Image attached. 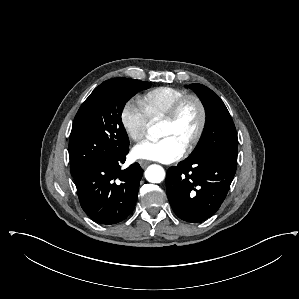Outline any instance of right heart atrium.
Wrapping results in <instances>:
<instances>
[{"label":"right heart atrium","instance_id":"d8ad5b80","mask_svg":"<svg viewBox=\"0 0 299 299\" xmlns=\"http://www.w3.org/2000/svg\"><path fill=\"white\" fill-rule=\"evenodd\" d=\"M120 122L126 135L133 141L142 139L149 126V118L135 100H128L120 112Z\"/></svg>","mask_w":299,"mask_h":299}]
</instances>
